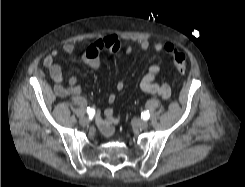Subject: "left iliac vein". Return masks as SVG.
Segmentation results:
<instances>
[{
  "mask_svg": "<svg viewBox=\"0 0 245 187\" xmlns=\"http://www.w3.org/2000/svg\"><path fill=\"white\" fill-rule=\"evenodd\" d=\"M135 125L140 129H146L148 127V122L145 120H135Z\"/></svg>",
  "mask_w": 245,
  "mask_h": 187,
  "instance_id": "4c4485c4",
  "label": "left iliac vein"
}]
</instances>
